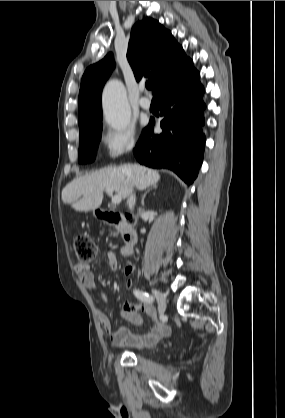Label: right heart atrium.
<instances>
[{"label":"right heart atrium","instance_id":"d8ad5b80","mask_svg":"<svg viewBox=\"0 0 285 418\" xmlns=\"http://www.w3.org/2000/svg\"><path fill=\"white\" fill-rule=\"evenodd\" d=\"M102 142L108 158L116 159L134 149L137 142L135 129L131 126L123 130L107 129Z\"/></svg>","mask_w":285,"mask_h":418}]
</instances>
